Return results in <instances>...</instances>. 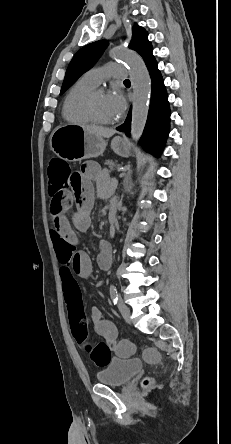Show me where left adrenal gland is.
I'll list each match as a JSON object with an SVG mask.
<instances>
[{
    "instance_id": "obj_1",
    "label": "left adrenal gland",
    "mask_w": 231,
    "mask_h": 444,
    "mask_svg": "<svg viewBox=\"0 0 231 444\" xmlns=\"http://www.w3.org/2000/svg\"><path fill=\"white\" fill-rule=\"evenodd\" d=\"M131 188H132V185L130 184V185H129V189H131Z\"/></svg>"
}]
</instances>
